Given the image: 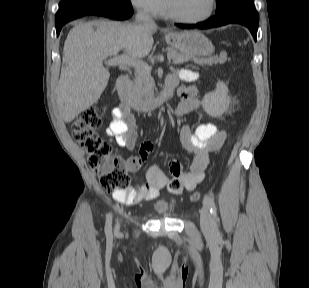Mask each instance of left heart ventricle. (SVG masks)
Masks as SVG:
<instances>
[{"instance_id":"1","label":"left heart ventricle","mask_w":309,"mask_h":288,"mask_svg":"<svg viewBox=\"0 0 309 288\" xmlns=\"http://www.w3.org/2000/svg\"><path fill=\"white\" fill-rule=\"evenodd\" d=\"M173 11L184 18H198L210 8V0H170Z\"/></svg>"}]
</instances>
